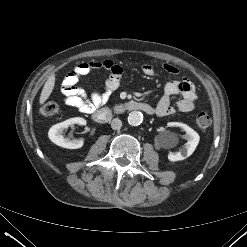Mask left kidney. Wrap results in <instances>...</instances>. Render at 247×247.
<instances>
[{"mask_svg": "<svg viewBox=\"0 0 247 247\" xmlns=\"http://www.w3.org/2000/svg\"><path fill=\"white\" fill-rule=\"evenodd\" d=\"M172 125L182 128L186 132L185 138L187 139V143L185 144L182 151L176 153L170 152L168 154V159L172 162H176L184 160L192 155L199 143L200 137L196 131H194L186 124L174 122ZM167 138L170 143H174L176 141L175 136L172 134H168Z\"/></svg>", "mask_w": 247, "mask_h": 247, "instance_id": "5707ae66", "label": "left kidney"}]
</instances>
